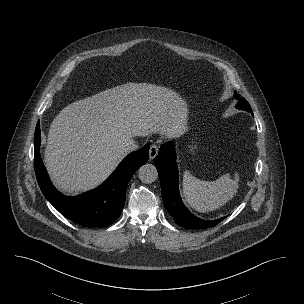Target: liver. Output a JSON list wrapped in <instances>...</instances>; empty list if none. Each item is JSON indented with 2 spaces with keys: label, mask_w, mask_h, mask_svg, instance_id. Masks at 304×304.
<instances>
[{
  "label": "liver",
  "mask_w": 304,
  "mask_h": 304,
  "mask_svg": "<svg viewBox=\"0 0 304 304\" xmlns=\"http://www.w3.org/2000/svg\"><path fill=\"white\" fill-rule=\"evenodd\" d=\"M187 104L174 90L126 83L75 101L50 125L44 160L55 186L77 194L101 184L128 154L125 142L159 133L178 137Z\"/></svg>",
  "instance_id": "1"
}]
</instances>
